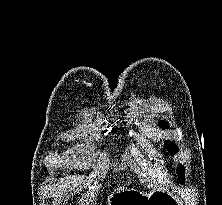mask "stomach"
<instances>
[{
	"label": "stomach",
	"mask_w": 222,
	"mask_h": 205,
	"mask_svg": "<svg viewBox=\"0 0 222 205\" xmlns=\"http://www.w3.org/2000/svg\"><path fill=\"white\" fill-rule=\"evenodd\" d=\"M107 205H181L179 199L164 190L143 193L136 189H123L111 194Z\"/></svg>",
	"instance_id": "1"
}]
</instances>
